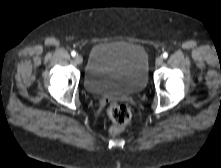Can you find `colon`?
I'll list each match as a JSON object with an SVG mask.
<instances>
[{
  "label": "colon",
  "instance_id": "1",
  "mask_svg": "<svg viewBox=\"0 0 221 168\" xmlns=\"http://www.w3.org/2000/svg\"><path fill=\"white\" fill-rule=\"evenodd\" d=\"M108 114L113 122V131L122 129L130 120L129 108L121 103L113 102L108 107Z\"/></svg>",
  "mask_w": 221,
  "mask_h": 168
}]
</instances>
